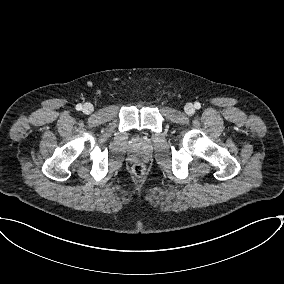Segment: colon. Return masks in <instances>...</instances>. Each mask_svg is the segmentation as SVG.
I'll return each instance as SVG.
<instances>
[{
	"instance_id": "5ec220e1",
	"label": "colon",
	"mask_w": 284,
	"mask_h": 284,
	"mask_svg": "<svg viewBox=\"0 0 284 284\" xmlns=\"http://www.w3.org/2000/svg\"><path fill=\"white\" fill-rule=\"evenodd\" d=\"M145 170H146V168H145L144 164H142L140 162L135 163L132 167V172L138 177L144 175Z\"/></svg>"
}]
</instances>
